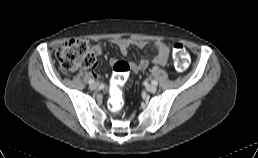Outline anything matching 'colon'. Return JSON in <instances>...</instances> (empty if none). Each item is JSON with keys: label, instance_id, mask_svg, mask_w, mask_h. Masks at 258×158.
I'll return each instance as SVG.
<instances>
[{"label": "colon", "instance_id": "colon-1", "mask_svg": "<svg viewBox=\"0 0 258 158\" xmlns=\"http://www.w3.org/2000/svg\"><path fill=\"white\" fill-rule=\"evenodd\" d=\"M60 69L64 73H71L78 67H91L96 62V56L84 39L66 41L56 51ZM173 64L177 71H185L190 63V56L186 47L175 43L172 47ZM131 67L126 61H117L113 65L111 81V98L109 107L112 112H119L124 105L123 86L125 85Z\"/></svg>", "mask_w": 258, "mask_h": 158}]
</instances>
